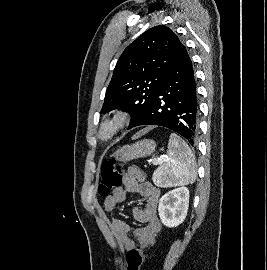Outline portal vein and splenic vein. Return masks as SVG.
I'll return each mask as SVG.
<instances>
[{"mask_svg":"<svg viewBox=\"0 0 267 270\" xmlns=\"http://www.w3.org/2000/svg\"><path fill=\"white\" fill-rule=\"evenodd\" d=\"M162 161H163V158H155L152 160V163L154 165H157V164L161 163Z\"/></svg>","mask_w":267,"mask_h":270,"instance_id":"obj_1","label":"portal vein and splenic vein"}]
</instances>
